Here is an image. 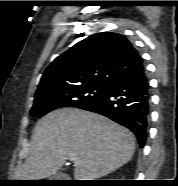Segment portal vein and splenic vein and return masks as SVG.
Listing matches in <instances>:
<instances>
[{
  "instance_id": "1",
  "label": "portal vein and splenic vein",
  "mask_w": 178,
  "mask_h": 186,
  "mask_svg": "<svg viewBox=\"0 0 178 186\" xmlns=\"http://www.w3.org/2000/svg\"><path fill=\"white\" fill-rule=\"evenodd\" d=\"M67 159L70 160V161H75V159L71 156L67 157Z\"/></svg>"
}]
</instances>
